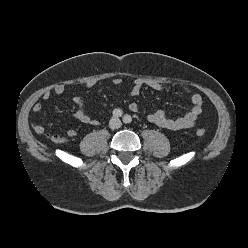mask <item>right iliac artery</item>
Instances as JSON below:
<instances>
[{
    "instance_id": "82829eb1",
    "label": "right iliac artery",
    "mask_w": 248,
    "mask_h": 248,
    "mask_svg": "<svg viewBox=\"0 0 248 248\" xmlns=\"http://www.w3.org/2000/svg\"><path fill=\"white\" fill-rule=\"evenodd\" d=\"M123 114L122 110L121 109H114L113 110V116L114 117H121Z\"/></svg>"
}]
</instances>
